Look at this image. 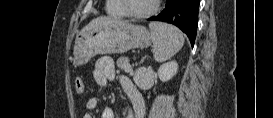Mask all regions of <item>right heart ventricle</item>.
I'll list each match as a JSON object with an SVG mask.
<instances>
[{
	"label": "right heart ventricle",
	"instance_id": "right-heart-ventricle-1",
	"mask_svg": "<svg viewBox=\"0 0 273 118\" xmlns=\"http://www.w3.org/2000/svg\"><path fill=\"white\" fill-rule=\"evenodd\" d=\"M105 10L112 16H125L126 12L123 8L121 0H107Z\"/></svg>",
	"mask_w": 273,
	"mask_h": 118
}]
</instances>
